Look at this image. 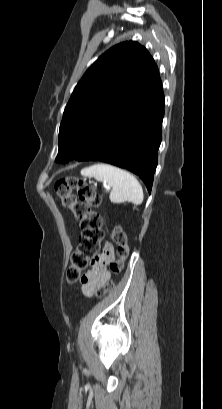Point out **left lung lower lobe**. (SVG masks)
Returning a JSON list of instances; mask_svg holds the SVG:
<instances>
[{"instance_id": "1", "label": "left lung lower lobe", "mask_w": 222, "mask_h": 409, "mask_svg": "<svg viewBox=\"0 0 222 409\" xmlns=\"http://www.w3.org/2000/svg\"><path fill=\"white\" fill-rule=\"evenodd\" d=\"M164 116L162 87L144 101L129 100L93 137L78 161H101L127 169L151 192Z\"/></svg>"}]
</instances>
